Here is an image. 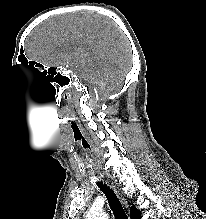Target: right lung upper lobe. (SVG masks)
Here are the masks:
<instances>
[{
    "mask_svg": "<svg viewBox=\"0 0 206 219\" xmlns=\"http://www.w3.org/2000/svg\"><path fill=\"white\" fill-rule=\"evenodd\" d=\"M130 215H131V219H140L141 212L138 209H136L134 206H132Z\"/></svg>",
    "mask_w": 206,
    "mask_h": 219,
    "instance_id": "cb5924a9",
    "label": "right lung upper lobe"
}]
</instances>
